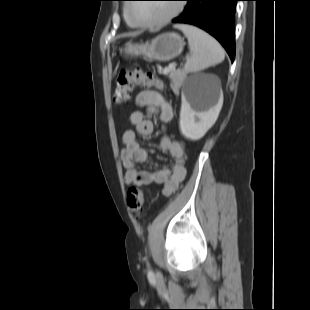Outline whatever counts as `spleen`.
Instances as JSON below:
<instances>
[{"mask_svg": "<svg viewBox=\"0 0 310 310\" xmlns=\"http://www.w3.org/2000/svg\"><path fill=\"white\" fill-rule=\"evenodd\" d=\"M188 39L190 55L184 66V72H198L221 63L225 52L221 45L205 31L187 24L175 26Z\"/></svg>", "mask_w": 310, "mask_h": 310, "instance_id": "3e777b00", "label": "spleen"}]
</instances>
